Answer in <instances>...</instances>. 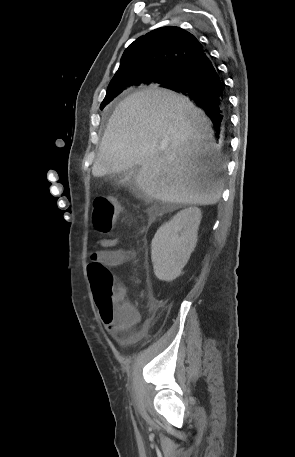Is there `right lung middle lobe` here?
<instances>
[{"instance_id": "right-lung-middle-lobe-1", "label": "right lung middle lobe", "mask_w": 295, "mask_h": 457, "mask_svg": "<svg viewBox=\"0 0 295 457\" xmlns=\"http://www.w3.org/2000/svg\"><path fill=\"white\" fill-rule=\"evenodd\" d=\"M175 77L171 78L169 81H173ZM139 85H141V84H138L137 86H139ZM129 86H132V84H119V85H114L112 87H108L106 96H105L103 102L101 103L100 108L103 109L117 95H119L123 90H125Z\"/></svg>"}]
</instances>
